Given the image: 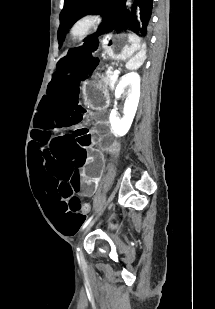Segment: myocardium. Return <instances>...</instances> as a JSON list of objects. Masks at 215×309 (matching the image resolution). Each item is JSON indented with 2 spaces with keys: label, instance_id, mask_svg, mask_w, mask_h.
Listing matches in <instances>:
<instances>
[{
  "label": "myocardium",
  "instance_id": "obj_1",
  "mask_svg": "<svg viewBox=\"0 0 215 309\" xmlns=\"http://www.w3.org/2000/svg\"><path fill=\"white\" fill-rule=\"evenodd\" d=\"M93 25V20L90 18L78 21L71 29V38L75 42L82 41L88 33L90 27Z\"/></svg>",
  "mask_w": 215,
  "mask_h": 309
}]
</instances>
